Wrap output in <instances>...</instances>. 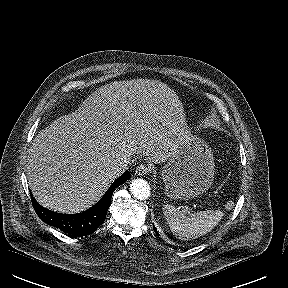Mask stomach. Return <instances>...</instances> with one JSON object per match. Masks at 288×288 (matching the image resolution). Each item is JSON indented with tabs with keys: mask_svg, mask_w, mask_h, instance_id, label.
Returning a JSON list of instances; mask_svg holds the SVG:
<instances>
[{
	"mask_svg": "<svg viewBox=\"0 0 288 288\" xmlns=\"http://www.w3.org/2000/svg\"><path fill=\"white\" fill-rule=\"evenodd\" d=\"M215 162L209 145L191 136L169 157L161 171L170 199H191L206 192L213 181Z\"/></svg>",
	"mask_w": 288,
	"mask_h": 288,
	"instance_id": "stomach-1",
	"label": "stomach"
}]
</instances>
